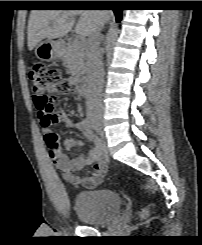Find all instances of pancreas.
Here are the masks:
<instances>
[{
    "mask_svg": "<svg viewBox=\"0 0 202 245\" xmlns=\"http://www.w3.org/2000/svg\"><path fill=\"white\" fill-rule=\"evenodd\" d=\"M62 60L67 72L79 78L86 70L84 45H76L74 42L67 44L63 49Z\"/></svg>",
    "mask_w": 202,
    "mask_h": 245,
    "instance_id": "obj_1",
    "label": "pancreas"
}]
</instances>
